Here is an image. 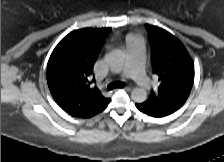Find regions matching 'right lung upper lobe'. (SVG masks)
Wrapping results in <instances>:
<instances>
[{"label":"right lung upper lobe","instance_id":"1","mask_svg":"<svg viewBox=\"0 0 224 162\" xmlns=\"http://www.w3.org/2000/svg\"><path fill=\"white\" fill-rule=\"evenodd\" d=\"M109 32L110 28L75 30L59 42L49 58V90L56 103L72 116L89 118L110 102L91 86L93 65Z\"/></svg>","mask_w":224,"mask_h":162}]
</instances>
